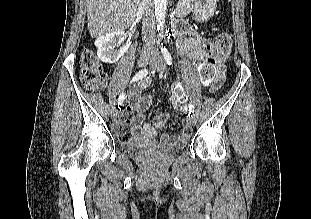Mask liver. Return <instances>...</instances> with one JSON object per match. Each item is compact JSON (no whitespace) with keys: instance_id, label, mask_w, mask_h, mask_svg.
I'll use <instances>...</instances> for the list:
<instances>
[{"instance_id":"liver-1","label":"liver","mask_w":311,"mask_h":219,"mask_svg":"<svg viewBox=\"0 0 311 219\" xmlns=\"http://www.w3.org/2000/svg\"><path fill=\"white\" fill-rule=\"evenodd\" d=\"M140 0H85L92 38L122 31L134 21Z\"/></svg>"}]
</instances>
